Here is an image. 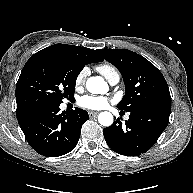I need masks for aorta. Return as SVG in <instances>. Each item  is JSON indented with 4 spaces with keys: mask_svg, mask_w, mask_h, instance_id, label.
I'll return each mask as SVG.
<instances>
[{
    "mask_svg": "<svg viewBox=\"0 0 193 193\" xmlns=\"http://www.w3.org/2000/svg\"><path fill=\"white\" fill-rule=\"evenodd\" d=\"M86 88L92 94H105L108 91V84L100 76H93L87 79ZM98 122L108 127L113 123V115L110 112H101L98 116Z\"/></svg>",
    "mask_w": 193,
    "mask_h": 193,
    "instance_id": "762f6f07",
    "label": "aorta"
}]
</instances>
